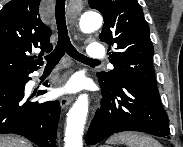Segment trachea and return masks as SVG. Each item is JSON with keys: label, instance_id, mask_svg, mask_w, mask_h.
Here are the masks:
<instances>
[{"label": "trachea", "instance_id": "3493384b", "mask_svg": "<svg viewBox=\"0 0 183 147\" xmlns=\"http://www.w3.org/2000/svg\"><path fill=\"white\" fill-rule=\"evenodd\" d=\"M56 24L58 29V42L53 52L45 56V60L47 62L46 64L47 68L55 67L59 62V60L65 55V53H67L70 57L76 59L77 61L83 63L99 62L96 59H91L81 54L72 45L66 25L65 0L56 1Z\"/></svg>", "mask_w": 183, "mask_h": 147}]
</instances>
